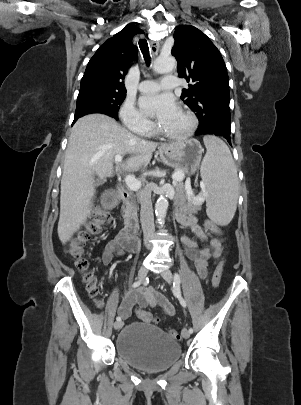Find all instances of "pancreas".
<instances>
[{"instance_id": "pancreas-1", "label": "pancreas", "mask_w": 301, "mask_h": 405, "mask_svg": "<svg viewBox=\"0 0 301 405\" xmlns=\"http://www.w3.org/2000/svg\"><path fill=\"white\" fill-rule=\"evenodd\" d=\"M178 171L185 173L182 169L176 170V172ZM174 188L176 191L174 196V204L176 206H179L187 213H197L199 210H201V203L194 201L193 198L187 194L182 181L176 182Z\"/></svg>"}]
</instances>
